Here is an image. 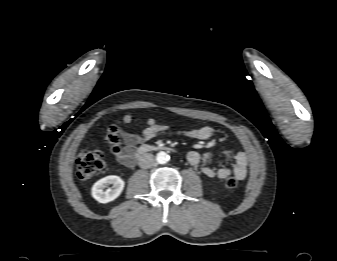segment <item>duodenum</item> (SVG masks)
I'll return each instance as SVG.
<instances>
[{
	"label": "duodenum",
	"mask_w": 337,
	"mask_h": 261,
	"mask_svg": "<svg viewBox=\"0 0 337 261\" xmlns=\"http://www.w3.org/2000/svg\"><path fill=\"white\" fill-rule=\"evenodd\" d=\"M169 148L164 146H157V145H142L138 148L135 153L134 160L141 158L143 155L147 154L148 152L155 151V150H167Z\"/></svg>",
	"instance_id": "obj_1"
}]
</instances>
